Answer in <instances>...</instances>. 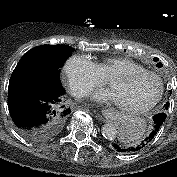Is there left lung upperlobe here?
<instances>
[{
    "mask_svg": "<svg viewBox=\"0 0 177 177\" xmlns=\"http://www.w3.org/2000/svg\"><path fill=\"white\" fill-rule=\"evenodd\" d=\"M169 107V103H166L165 106H164V110H167Z\"/></svg>",
    "mask_w": 177,
    "mask_h": 177,
    "instance_id": "5c2ea615",
    "label": "left lung upper lobe"
}]
</instances>
